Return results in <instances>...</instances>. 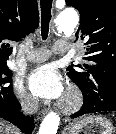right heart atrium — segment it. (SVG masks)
I'll return each mask as SVG.
<instances>
[{"label":"right heart atrium","instance_id":"1","mask_svg":"<svg viewBox=\"0 0 116 134\" xmlns=\"http://www.w3.org/2000/svg\"><path fill=\"white\" fill-rule=\"evenodd\" d=\"M14 95L25 111H33L36 108V100L27 94L21 85L16 84L14 86Z\"/></svg>","mask_w":116,"mask_h":134}]
</instances>
